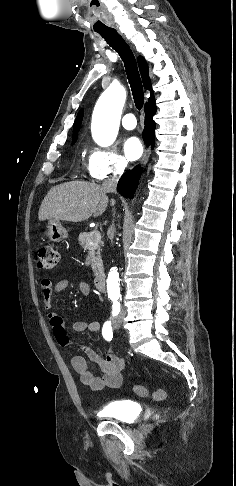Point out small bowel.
<instances>
[{
	"mask_svg": "<svg viewBox=\"0 0 236 486\" xmlns=\"http://www.w3.org/2000/svg\"><path fill=\"white\" fill-rule=\"evenodd\" d=\"M70 285L69 280L63 279L56 283H52L49 279L43 278L40 286L44 299V309L48 312V320L54 331L55 337L59 344L65 346L69 343V338L66 334L63 319L55 312H52L53 296L59 292L66 290ZM79 290L84 295L91 293L90 286L85 282L78 284ZM101 328L99 321L85 322L76 321L72 325L75 332H97ZM84 354L93 361L102 371L101 376L93 374L89 368L85 357L75 355L71 358L72 368L79 374L81 382L94 391H101L106 388L116 389L122 385L123 371L125 370V361L112 352H107L104 356L99 354L96 350L89 346H82Z\"/></svg>",
	"mask_w": 236,
	"mask_h": 486,
	"instance_id": "1",
	"label": "small bowel"
}]
</instances>
